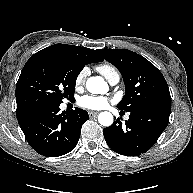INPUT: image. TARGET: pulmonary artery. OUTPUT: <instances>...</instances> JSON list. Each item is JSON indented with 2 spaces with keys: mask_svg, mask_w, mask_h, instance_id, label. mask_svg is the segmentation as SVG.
Instances as JSON below:
<instances>
[{
  "mask_svg": "<svg viewBox=\"0 0 193 193\" xmlns=\"http://www.w3.org/2000/svg\"><path fill=\"white\" fill-rule=\"evenodd\" d=\"M120 80V76L119 75H115L113 76L110 80H109V83L111 85H116Z\"/></svg>",
  "mask_w": 193,
  "mask_h": 193,
  "instance_id": "e3ab8cb5",
  "label": "pulmonary artery"
}]
</instances>
